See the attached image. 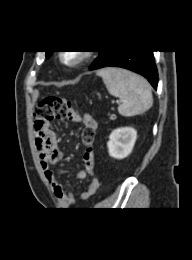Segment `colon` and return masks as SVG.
I'll use <instances>...</instances> for the list:
<instances>
[{
	"label": "colon",
	"instance_id": "colon-1",
	"mask_svg": "<svg viewBox=\"0 0 192 260\" xmlns=\"http://www.w3.org/2000/svg\"><path fill=\"white\" fill-rule=\"evenodd\" d=\"M77 111L71 108L70 102L60 96H47L43 98L35 110L36 122L44 123L53 119L68 118ZM79 113V112H78ZM82 142L87 146L86 152L91 151V144L94 140V131L84 127L81 133Z\"/></svg>",
	"mask_w": 192,
	"mask_h": 260
}]
</instances>
